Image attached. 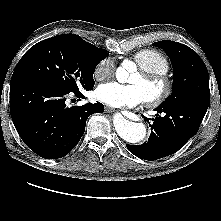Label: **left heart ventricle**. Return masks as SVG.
Returning <instances> with one entry per match:
<instances>
[{"mask_svg": "<svg viewBox=\"0 0 221 221\" xmlns=\"http://www.w3.org/2000/svg\"><path fill=\"white\" fill-rule=\"evenodd\" d=\"M130 84L138 85L142 88L146 98H149L151 96H154L161 90V85L159 83L151 82L143 78L139 72L134 73L130 79Z\"/></svg>", "mask_w": 221, "mask_h": 221, "instance_id": "1", "label": "left heart ventricle"}]
</instances>
